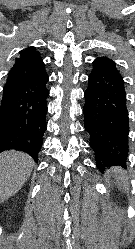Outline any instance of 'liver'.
Here are the masks:
<instances>
[{"instance_id": "obj_1", "label": "liver", "mask_w": 135, "mask_h": 249, "mask_svg": "<svg viewBox=\"0 0 135 249\" xmlns=\"http://www.w3.org/2000/svg\"><path fill=\"white\" fill-rule=\"evenodd\" d=\"M33 159L20 151L0 153V202L16 194L29 178Z\"/></svg>"}]
</instances>
